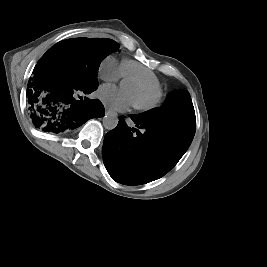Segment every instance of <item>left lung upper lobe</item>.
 <instances>
[{
    "instance_id": "5c2ea615",
    "label": "left lung upper lobe",
    "mask_w": 267,
    "mask_h": 267,
    "mask_svg": "<svg viewBox=\"0 0 267 267\" xmlns=\"http://www.w3.org/2000/svg\"><path fill=\"white\" fill-rule=\"evenodd\" d=\"M135 117L145 123L177 127L192 135L196 130L195 111L190 94L186 90L171 92L161 107Z\"/></svg>"
}]
</instances>
